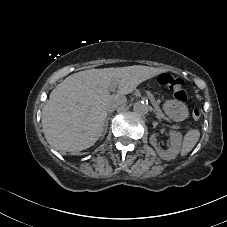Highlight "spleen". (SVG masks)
<instances>
[{"label":"spleen","instance_id":"3e777b00","mask_svg":"<svg viewBox=\"0 0 227 227\" xmlns=\"http://www.w3.org/2000/svg\"><path fill=\"white\" fill-rule=\"evenodd\" d=\"M200 138V131L198 129H191L185 134L180 150V157L186 156L197 144Z\"/></svg>","mask_w":227,"mask_h":227}]
</instances>
